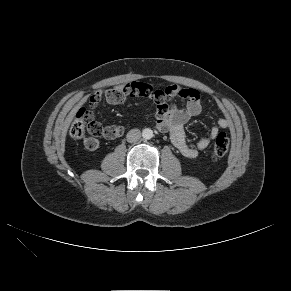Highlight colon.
<instances>
[{
	"label": "colon",
	"instance_id": "obj_1",
	"mask_svg": "<svg viewBox=\"0 0 291 291\" xmlns=\"http://www.w3.org/2000/svg\"><path fill=\"white\" fill-rule=\"evenodd\" d=\"M94 107L93 104H90ZM123 132L122 127H103L101 126L93 116V113L85 108H82L77 113L76 119L70 127V135L75 139H82L88 133L90 138L97 139L98 137L115 138ZM230 140L229 137L221 132L219 133L212 145L211 158L218 160L222 158L229 149Z\"/></svg>",
	"mask_w": 291,
	"mask_h": 291
}]
</instances>
